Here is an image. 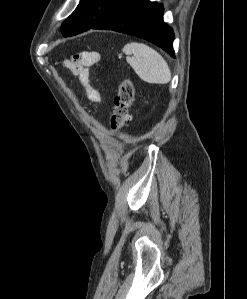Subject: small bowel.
Returning <instances> with one entry per match:
<instances>
[{"instance_id": "obj_1", "label": "small bowel", "mask_w": 247, "mask_h": 299, "mask_svg": "<svg viewBox=\"0 0 247 299\" xmlns=\"http://www.w3.org/2000/svg\"><path fill=\"white\" fill-rule=\"evenodd\" d=\"M100 56L94 52H82L68 62V67L79 76L81 83L85 87L87 97L94 103H99L101 98L99 92L93 88L89 82L88 68L98 63Z\"/></svg>"}]
</instances>
